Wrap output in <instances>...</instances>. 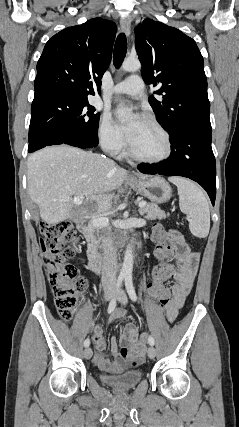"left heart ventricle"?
Segmentation results:
<instances>
[{
    "instance_id": "1",
    "label": "left heart ventricle",
    "mask_w": 239,
    "mask_h": 427,
    "mask_svg": "<svg viewBox=\"0 0 239 427\" xmlns=\"http://www.w3.org/2000/svg\"><path fill=\"white\" fill-rule=\"evenodd\" d=\"M129 143L138 155L151 159L162 156L166 150L164 136L144 119L138 124Z\"/></svg>"
}]
</instances>
